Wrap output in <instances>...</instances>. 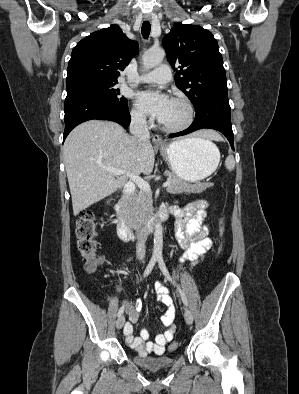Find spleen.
<instances>
[{"label": "spleen", "instance_id": "3e777b00", "mask_svg": "<svg viewBox=\"0 0 299 394\" xmlns=\"http://www.w3.org/2000/svg\"><path fill=\"white\" fill-rule=\"evenodd\" d=\"M210 143H212L210 141ZM225 167L227 170L232 171L235 168V159L233 155H229L225 160Z\"/></svg>", "mask_w": 299, "mask_h": 394}]
</instances>
